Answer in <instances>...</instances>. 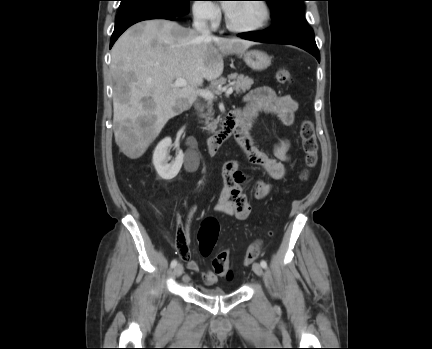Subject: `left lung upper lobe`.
I'll return each mask as SVG.
<instances>
[{
	"label": "left lung upper lobe",
	"mask_w": 432,
	"mask_h": 349,
	"mask_svg": "<svg viewBox=\"0 0 432 349\" xmlns=\"http://www.w3.org/2000/svg\"><path fill=\"white\" fill-rule=\"evenodd\" d=\"M271 9L275 25L308 26L304 17L305 0H265Z\"/></svg>",
	"instance_id": "left-lung-upper-lobe-1"
}]
</instances>
